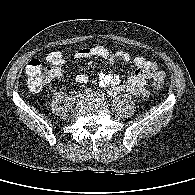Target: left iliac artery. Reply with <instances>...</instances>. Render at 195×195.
I'll list each match as a JSON object with an SVG mask.
<instances>
[{"label": "left iliac artery", "instance_id": "44dca946", "mask_svg": "<svg viewBox=\"0 0 195 195\" xmlns=\"http://www.w3.org/2000/svg\"><path fill=\"white\" fill-rule=\"evenodd\" d=\"M105 98V96H104V94H102V99H104Z\"/></svg>", "mask_w": 195, "mask_h": 195}]
</instances>
